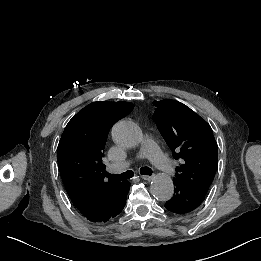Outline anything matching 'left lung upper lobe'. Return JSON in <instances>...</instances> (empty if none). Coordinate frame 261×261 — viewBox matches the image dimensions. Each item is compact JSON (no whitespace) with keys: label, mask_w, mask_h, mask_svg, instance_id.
Returning <instances> with one entry per match:
<instances>
[{"label":"left lung upper lobe","mask_w":261,"mask_h":261,"mask_svg":"<svg viewBox=\"0 0 261 261\" xmlns=\"http://www.w3.org/2000/svg\"><path fill=\"white\" fill-rule=\"evenodd\" d=\"M154 120L172 151L181 160L176 178L207 193L218 166L217 143L210 125L175 100L154 101Z\"/></svg>","instance_id":"1"}]
</instances>
